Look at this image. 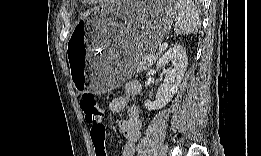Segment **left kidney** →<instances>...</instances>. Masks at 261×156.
<instances>
[{
    "label": "left kidney",
    "mask_w": 261,
    "mask_h": 156,
    "mask_svg": "<svg viewBox=\"0 0 261 156\" xmlns=\"http://www.w3.org/2000/svg\"><path fill=\"white\" fill-rule=\"evenodd\" d=\"M169 62L172 64V68L166 71L165 79L157 91L156 100L152 102L147 99L144 103L149 111L166 106L177 92L188 63L185 48L181 45L170 48L158 60L156 66L158 69H163Z\"/></svg>",
    "instance_id": "left-kidney-1"
}]
</instances>
